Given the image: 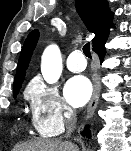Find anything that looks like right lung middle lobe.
I'll use <instances>...</instances> for the list:
<instances>
[{"label":"right lung middle lobe","instance_id":"1","mask_svg":"<svg viewBox=\"0 0 131 151\" xmlns=\"http://www.w3.org/2000/svg\"><path fill=\"white\" fill-rule=\"evenodd\" d=\"M19 90H20V88L14 90V92H13L14 97H16V95L18 94Z\"/></svg>","mask_w":131,"mask_h":151}]
</instances>
